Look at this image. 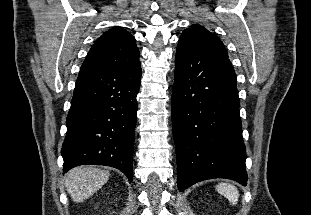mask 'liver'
<instances>
[{
  "label": "liver",
  "instance_id": "obj_1",
  "mask_svg": "<svg viewBox=\"0 0 311 215\" xmlns=\"http://www.w3.org/2000/svg\"><path fill=\"white\" fill-rule=\"evenodd\" d=\"M109 176V171L92 166H79L68 172L65 187L74 202H82L97 192L108 181Z\"/></svg>",
  "mask_w": 311,
  "mask_h": 215
}]
</instances>
